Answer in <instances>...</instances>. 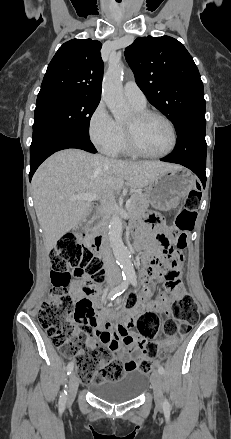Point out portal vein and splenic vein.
<instances>
[{
    "instance_id": "18ae733b",
    "label": "portal vein and splenic vein",
    "mask_w": 231,
    "mask_h": 439,
    "mask_svg": "<svg viewBox=\"0 0 231 439\" xmlns=\"http://www.w3.org/2000/svg\"><path fill=\"white\" fill-rule=\"evenodd\" d=\"M98 196L97 194H93V193H79V194H75L71 197V200H85V201H94L97 200ZM131 204V200H128L126 202V208L129 209Z\"/></svg>"
}]
</instances>
